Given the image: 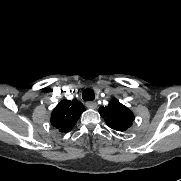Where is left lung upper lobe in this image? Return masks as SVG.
Listing matches in <instances>:
<instances>
[{"label":"left lung upper lobe","instance_id":"1","mask_svg":"<svg viewBox=\"0 0 181 181\" xmlns=\"http://www.w3.org/2000/svg\"><path fill=\"white\" fill-rule=\"evenodd\" d=\"M99 113L104 118L106 124L117 131L127 130L134 121L133 112L116 98L111 99L108 106L100 107Z\"/></svg>","mask_w":181,"mask_h":181}]
</instances>
